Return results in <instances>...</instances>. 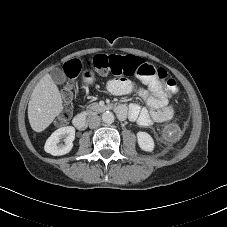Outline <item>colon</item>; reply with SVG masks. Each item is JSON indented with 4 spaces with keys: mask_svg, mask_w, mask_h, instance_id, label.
I'll return each instance as SVG.
<instances>
[{
    "mask_svg": "<svg viewBox=\"0 0 227 227\" xmlns=\"http://www.w3.org/2000/svg\"><path fill=\"white\" fill-rule=\"evenodd\" d=\"M88 63L95 67L101 74L113 75H139L149 79H160L164 81L165 88L174 93L177 91V82L174 79H167V72L163 68L155 67L151 64L145 63L142 59L133 56H119V55H103L97 54L93 56ZM81 69V63L73 59L65 64L63 70L66 78L71 81L77 76ZM71 82L67 83V87L63 90V97L66 100L71 90ZM72 115V111L66 108L57 120L58 125H63ZM184 131V126L181 127Z\"/></svg>",
    "mask_w": 227,
    "mask_h": 227,
    "instance_id": "5ec220e1",
    "label": "colon"
}]
</instances>
